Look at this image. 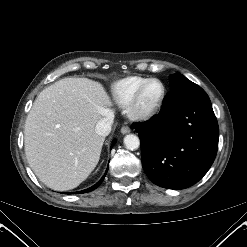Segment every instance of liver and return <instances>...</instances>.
Returning a JSON list of instances; mask_svg holds the SVG:
<instances>
[{"instance_id":"6515ba94","label":"liver","mask_w":247,"mask_h":247,"mask_svg":"<svg viewBox=\"0 0 247 247\" xmlns=\"http://www.w3.org/2000/svg\"><path fill=\"white\" fill-rule=\"evenodd\" d=\"M103 86L87 78H64L45 88L27 116L24 139L30 167L47 187L79 186L100 159L104 138L97 122L112 113Z\"/></svg>"}]
</instances>
